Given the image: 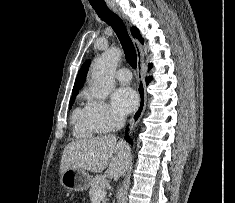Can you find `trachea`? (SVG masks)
<instances>
[{
    "label": "trachea",
    "instance_id": "trachea-1",
    "mask_svg": "<svg viewBox=\"0 0 235 203\" xmlns=\"http://www.w3.org/2000/svg\"><path fill=\"white\" fill-rule=\"evenodd\" d=\"M93 9L96 11L98 16L110 25L113 30L115 31L116 35L119 38V41L123 47L125 57L127 62L133 67L136 68L137 66V54L134 47V44L131 38L128 35L127 29L125 24L123 23L122 19L113 13L105 3L103 4H91Z\"/></svg>",
    "mask_w": 235,
    "mask_h": 203
}]
</instances>
